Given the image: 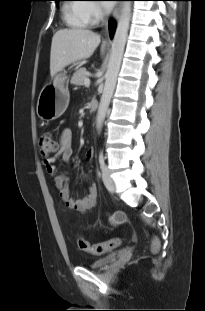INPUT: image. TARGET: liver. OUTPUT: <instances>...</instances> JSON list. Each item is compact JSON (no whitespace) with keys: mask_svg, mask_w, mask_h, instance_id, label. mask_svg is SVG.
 Instances as JSON below:
<instances>
[{"mask_svg":"<svg viewBox=\"0 0 205 311\" xmlns=\"http://www.w3.org/2000/svg\"><path fill=\"white\" fill-rule=\"evenodd\" d=\"M100 41V36L89 29L72 28L57 31L51 44V76H55L71 63L90 57Z\"/></svg>","mask_w":205,"mask_h":311,"instance_id":"6515ba94","label":"liver"}]
</instances>
